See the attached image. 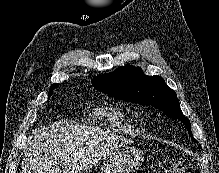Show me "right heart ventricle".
<instances>
[{"label": "right heart ventricle", "mask_w": 219, "mask_h": 173, "mask_svg": "<svg viewBox=\"0 0 219 173\" xmlns=\"http://www.w3.org/2000/svg\"><path fill=\"white\" fill-rule=\"evenodd\" d=\"M90 116L112 131L122 134L137 132L131 116L118 105L100 104L90 112Z\"/></svg>", "instance_id": "e07e8e85"}]
</instances>
